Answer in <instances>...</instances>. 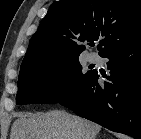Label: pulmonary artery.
I'll return each mask as SVG.
<instances>
[{
  "mask_svg": "<svg viewBox=\"0 0 141 139\" xmlns=\"http://www.w3.org/2000/svg\"><path fill=\"white\" fill-rule=\"evenodd\" d=\"M88 60L90 62H95L97 60V56L95 54H89L88 55Z\"/></svg>",
  "mask_w": 141,
  "mask_h": 139,
  "instance_id": "pulmonary-artery-1",
  "label": "pulmonary artery"
}]
</instances>
